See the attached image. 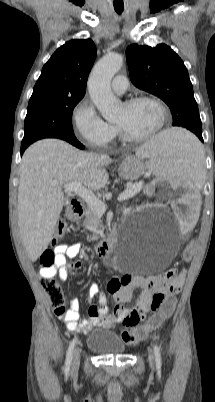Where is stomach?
<instances>
[{"instance_id":"1","label":"stomach","mask_w":215,"mask_h":402,"mask_svg":"<svg viewBox=\"0 0 215 402\" xmlns=\"http://www.w3.org/2000/svg\"><path fill=\"white\" fill-rule=\"evenodd\" d=\"M145 172V166L139 155L124 158L118 168L119 176L126 180H137Z\"/></svg>"}]
</instances>
